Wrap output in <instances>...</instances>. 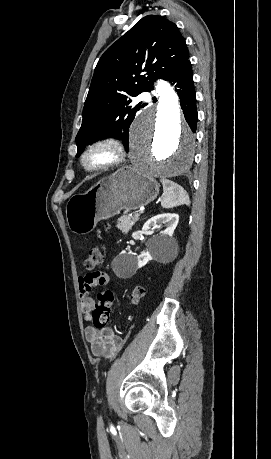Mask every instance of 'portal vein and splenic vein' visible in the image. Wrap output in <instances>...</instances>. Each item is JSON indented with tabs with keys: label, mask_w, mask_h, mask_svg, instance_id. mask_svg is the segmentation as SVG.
<instances>
[{
	"label": "portal vein and splenic vein",
	"mask_w": 271,
	"mask_h": 459,
	"mask_svg": "<svg viewBox=\"0 0 271 459\" xmlns=\"http://www.w3.org/2000/svg\"><path fill=\"white\" fill-rule=\"evenodd\" d=\"M134 214H135V217H139L141 213L140 212H138V213L135 212Z\"/></svg>",
	"instance_id": "1"
}]
</instances>
